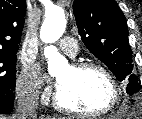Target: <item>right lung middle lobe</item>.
Instances as JSON below:
<instances>
[{
	"instance_id": "1",
	"label": "right lung middle lobe",
	"mask_w": 142,
	"mask_h": 119,
	"mask_svg": "<svg viewBox=\"0 0 142 119\" xmlns=\"http://www.w3.org/2000/svg\"><path fill=\"white\" fill-rule=\"evenodd\" d=\"M17 51H0V93L14 94Z\"/></svg>"
}]
</instances>
